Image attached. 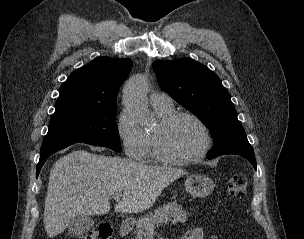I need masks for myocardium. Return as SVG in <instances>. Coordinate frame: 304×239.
<instances>
[{
	"instance_id": "f54148a6",
	"label": "myocardium",
	"mask_w": 304,
	"mask_h": 239,
	"mask_svg": "<svg viewBox=\"0 0 304 239\" xmlns=\"http://www.w3.org/2000/svg\"><path fill=\"white\" fill-rule=\"evenodd\" d=\"M188 118L193 120L202 130L204 143L202 148L194 155L185 157V158H174L166 155L161 148V139L163 134L179 119ZM212 145L211 133L208 126L204 123V121L195 115L194 113L187 111H175L172 114L168 115L164 119H162L154 130L153 140H152V149L153 155L155 159L161 163L169 164V165H187L198 162L201 160L207 152L210 150Z\"/></svg>"
}]
</instances>
